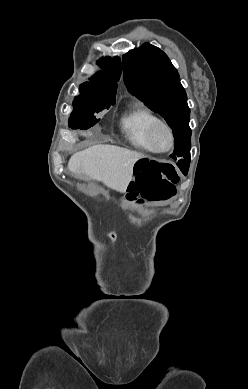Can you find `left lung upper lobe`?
<instances>
[{
	"label": "left lung upper lobe",
	"instance_id": "5c2ea615",
	"mask_svg": "<svg viewBox=\"0 0 248 389\" xmlns=\"http://www.w3.org/2000/svg\"><path fill=\"white\" fill-rule=\"evenodd\" d=\"M124 82L128 91L160 114L171 127L173 159L190 155V109L180 77L167 55L151 44L123 55Z\"/></svg>",
	"mask_w": 248,
	"mask_h": 389
}]
</instances>
